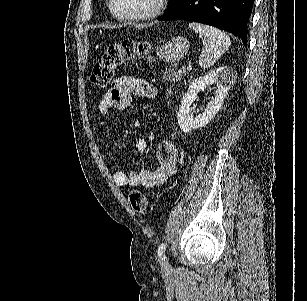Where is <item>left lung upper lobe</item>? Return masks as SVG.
<instances>
[{"instance_id": "1", "label": "left lung upper lobe", "mask_w": 307, "mask_h": 301, "mask_svg": "<svg viewBox=\"0 0 307 301\" xmlns=\"http://www.w3.org/2000/svg\"><path fill=\"white\" fill-rule=\"evenodd\" d=\"M94 1H96V0H94ZM179 1H180V0H171V3H170V5L168 6L167 9L173 7V6L176 5Z\"/></svg>"}]
</instances>
